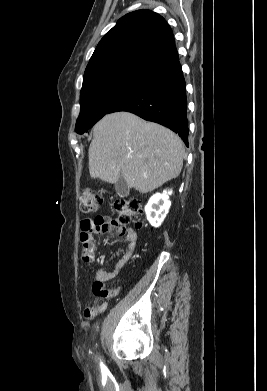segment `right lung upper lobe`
<instances>
[{
    "mask_svg": "<svg viewBox=\"0 0 267 391\" xmlns=\"http://www.w3.org/2000/svg\"><path fill=\"white\" fill-rule=\"evenodd\" d=\"M178 59L165 19L149 10L131 12L101 39L84 73L83 84L112 72L151 74Z\"/></svg>",
    "mask_w": 267,
    "mask_h": 391,
    "instance_id": "obj_1",
    "label": "right lung upper lobe"
}]
</instances>
